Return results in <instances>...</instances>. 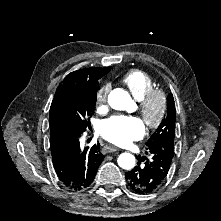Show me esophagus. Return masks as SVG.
<instances>
[{
	"instance_id": "34e87169",
	"label": "esophagus",
	"mask_w": 221,
	"mask_h": 221,
	"mask_svg": "<svg viewBox=\"0 0 221 221\" xmlns=\"http://www.w3.org/2000/svg\"><path fill=\"white\" fill-rule=\"evenodd\" d=\"M103 150L105 152H115V151H119V148L115 147V146H112V145H105Z\"/></svg>"
}]
</instances>
